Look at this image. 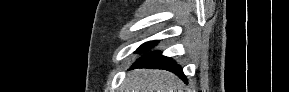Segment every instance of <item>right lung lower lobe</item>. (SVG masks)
<instances>
[{
    "label": "right lung lower lobe",
    "instance_id": "right-lung-lower-lobe-1",
    "mask_svg": "<svg viewBox=\"0 0 289 92\" xmlns=\"http://www.w3.org/2000/svg\"><path fill=\"white\" fill-rule=\"evenodd\" d=\"M134 68H153V69L168 70L175 73L176 75L181 77L185 82H187V79L183 74L182 68L173 59H171L170 57H165L161 55V53H158L149 58L139 59L131 67V69Z\"/></svg>",
    "mask_w": 289,
    "mask_h": 92
}]
</instances>
